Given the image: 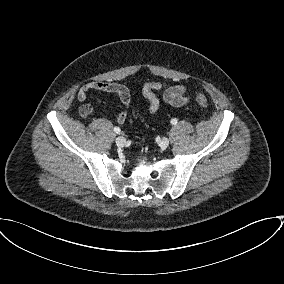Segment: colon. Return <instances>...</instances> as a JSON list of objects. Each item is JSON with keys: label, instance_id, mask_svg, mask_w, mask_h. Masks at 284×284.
<instances>
[{"label": "colon", "instance_id": "1", "mask_svg": "<svg viewBox=\"0 0 284 284\" xmlns=\"http://www.w3.org/2000/svg\"><path fill=\"white\" fill-rule=\"evenodd\" d=\"M196 100L202 108L208 107V101L206 97L201 93H196Z\"/></svg>", "mask_w": 284, "mask_h": 284}]
</instances>
